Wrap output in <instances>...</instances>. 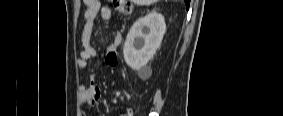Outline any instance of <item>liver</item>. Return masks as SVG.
<instances>
[{"label":"liver","instance_id":"liver-1","mask_svg":"<svg viewBox=\"0 0 283 116\" xmlns=\"http://www.w3.org/2000/svg\"><path fill=\"white\" fill-rule=\"evenodd\" d=\"M137 4H141V5H150L154 2H156V0H134Z\"/></svg>","mask_w":283,"mask_h":116}]
</instances>
